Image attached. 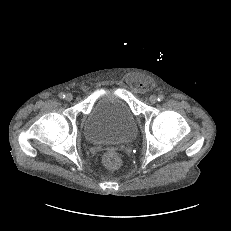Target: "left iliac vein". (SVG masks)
Returning a JSON list of instances; mask_svg holds the SVG:
<instances>
[{
    "mask_svg": "<svg viewBox=\"0 0 231 231\" xmlns=\"http://www.w3.org/2000/svg\"><path fill=\"white\" fill-rule=\"evenodd\" d=\"M149 101H150V103L155 104V103L157 102V97L154 96V95H151V96L149 97Z\"/></svg>",
    "mask_w": 231,
    "mask_h": 231,
    "instance_id": "obj_1",
    "label": "left iliac vein"
}]
</instances>
